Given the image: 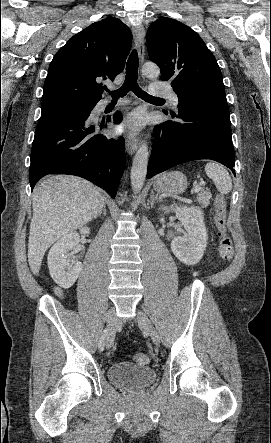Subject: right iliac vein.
Segmentation results:
<instances>
[{"mask_svg": "<svg viewBox=\"0 0 271 443\" xmlns=\"http://www.w3.org/2000/svg\"><path fill=\"white\" fill-rule=\"evenodd\" d=\"M106 322L108 325V335L106 338V348L110 349L113 346L114 339H115V309L111 308L109 309L107 313Z\"/></svg>", "mask_w": 271, "mask_h": 443, "instance_id": "63e3f726", "label": "right iliac vein"}]
</instances>
